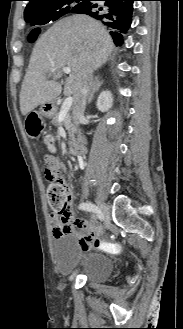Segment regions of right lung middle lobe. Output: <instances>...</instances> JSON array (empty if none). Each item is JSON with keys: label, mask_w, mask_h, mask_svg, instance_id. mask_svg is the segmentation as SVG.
Here are the masks:
<instances>
[{"label": "right lung middle lobe", "mask_w": 183, "mask_h": 329, "mask_svg": "<svg viewBox=\"0 0 183 329\" xmlns=\"http://www.w3.org/2000/svg\"><path fill=\"white\" fill-rule=\"evenodd\" d=\"M82 0H64L59 3L54 4L47 14L40 16L38 18H26L25 21L31 23L32 25H44L50 21H55L61 16L72 13L74 10H77L82 6ZM34 35H37L40 30L35 29Z\"/></svg>", "instance_id": "1"}]
</instances>
